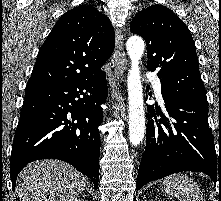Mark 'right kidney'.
<instances>
[{"instance_id": "1", "label": "right kidney", "mask_w": 221, "mask_h": 201, "mask_svg": "<svg viewBox=\"0 0 221 201\" xmlns=\"http://www.w3.org/2000/svg\"><path fill=\"white\" fill-rule=\"evenodd\" d=\"M67 201H82V200L74 197V198L68 199Z\"/></svg>"}]
</instances>
